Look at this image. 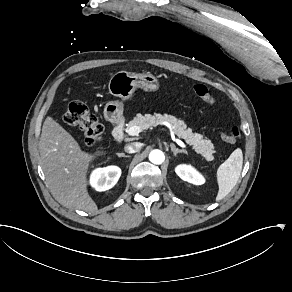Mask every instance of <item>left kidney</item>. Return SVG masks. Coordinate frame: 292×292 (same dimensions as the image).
Masks as SVG:
<instances>
[{
    "label": "left kidney",
    "mask_w": 292,
    "mask_h": 292,
    "mask_svg": "<svg viewBox=\"0 0 292 292\" xmlns=\"http://www.w3.org/2000/svg\"><path fill=\"white\" fill-rule=\"evenodd\" d=\"M175 172L182 180L194 185L205 183V178L191 165L180 164L175 168Z\"/></svg>",
    "instance_id": "left-kidney-1"
}]
</instances>
